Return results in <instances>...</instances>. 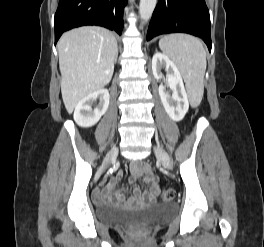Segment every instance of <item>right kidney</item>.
<instances>
[{
	"mask_svg": "<svg viewBox=\"0 0 264 247\" xmlns=\"http://www.w3.org/2000/svg\"><path fill=\"white\" fill-rule=\"evenodd\" d=\"M109 98L110 95L107 89H100L87 95L75 107L74 121L84 128L95 125L106 113L109 106ZM97 99L99 104L92 110L91 105Z\"/></svg>",
	"mask_w": 264,
	"mask_h": 247,
	"instance_id": "ca27d5eb",
	"label": "right kidney"
}]
</instances>
